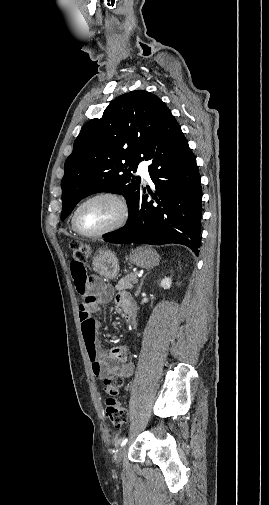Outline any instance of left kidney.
Listing matches in <instances>:
<instances>
[{
	"instance_id": "1",
	"label": "left kidney",
	"mask_w": 269,
	"mask_h": 505,
	"mask_svg": "<svg viewBox=\"0 0 269 505\" xmlns=\"http://www.w3.org/2000/svg\"><path fill=\"white\" fill-rule=\"evenodd\" d=\"M172 284V280L169 277H165L164 279L161 280L160 282V287L163 289H170Z\"/></svg>"
}]
</instances>
